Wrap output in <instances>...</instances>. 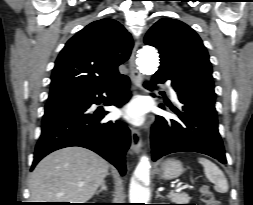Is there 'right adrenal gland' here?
<instances>
[{
  "label": "right adrenal gland",
  "instance_id": "obj_1",
  "mask_svg": "<svg viewBox=\"0 0 253 205\" xmlns=\"http://www.w3.org/2000/svg\"><path fill=\"white\" fill-rule=\"evenodd\" d=\"M104 190H107L106 181L105 180L102 182L101 188H100V190L97 191V194L101 193Z\"/></svg>",
  "mask_w": 253,
  "mask_h": 205
}]
</instances>
